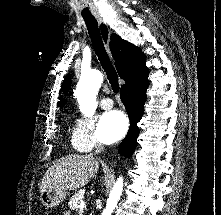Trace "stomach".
Instances as JSON below:
<instances>
[{
  "label": "stomach",
  "mask_w": 221,
  "mask_h": 215,
  "mask_svg": "<svg viewBox=\"0 0 221 215\" xmlns=\"http://www.w3.org/2000/svg\"><path fill=\"white\" fill-rule=\"evenodd\" d=\"M66 191L47 189L41 193V201L48 208H55L66 198Z\"/></svg>",
  "instance_id": "stomach-1"
}]
</instances>
